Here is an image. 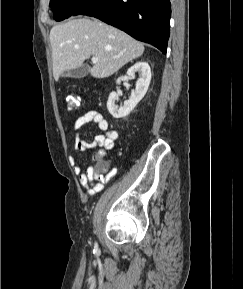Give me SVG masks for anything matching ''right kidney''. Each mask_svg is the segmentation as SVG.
Instances as JSON below:
<instances>
[{"instance_id":"ca27d5eb","label":"right kidney","mask_w":243,"mask_h":289,"mask_svg":"<svg viewBox=\"0 0 243 289\" xmlns=\"http://www.w3.org/2000/svg\"><path fill=\"white\" fill-rule=\"evenodd\" d=\"M136 72H139L141 77L136 82L135 91L131 93L130 99L125 101L123 106L119 107L115 103V101L119 100V95L116 92H112L109 95L107 108L109 113L114 118H121L129 115L130 112L136 107V105L142 100L148 90L151 81V69L149 64L145 61H139L135 63L128 69L127 75L124 77H119L116 83L120 84L121 81L127 77L134 78Z\"/></svg>"}]
</instances>
